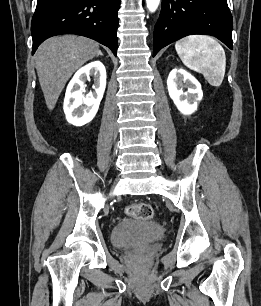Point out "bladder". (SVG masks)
<instances>
[{"instance_id":"1","label":"bladder","mask_w":261,"mask_h":306,"mask_svg":"<svg viewBox=\"0 0 261 306\" xmlns=\"http://www.w3.org/2000/svg\"><path fill=\"white\" fill-rule=\"evenodd\" d=\"M164 237V227L151 219H122L111 232L112 245L117 249L159 241Z\"/></svg>"}]
</instances>
